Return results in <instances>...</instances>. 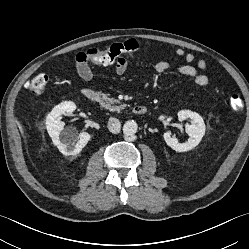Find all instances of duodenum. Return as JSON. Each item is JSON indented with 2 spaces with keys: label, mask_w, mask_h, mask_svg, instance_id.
I'll list each match as a JSON object with an SVG mask.
<instances>
[{
  "label": "duodenum",
  "mask_w": 249,
  "mask_h": 249,
  "mask_svg": "<svg viewBox=\"0 0 249 249\" xmlns=\"http://www.w3.org/2000/svg\"><path fill=\"white\" fill-rule=\"evenodd\" d=\"M82 94L87 100L91 102H97L100 99L98 91L93 88H84L82 90ZM133 112L136 115H144L147 112V106L144 104H138L134 106Z\"/></svg>",
  "instance_id": "410a0bca"
}]
</instances>
